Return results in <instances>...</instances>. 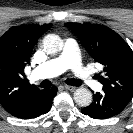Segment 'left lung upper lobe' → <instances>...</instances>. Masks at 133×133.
Listing matches in <instances>:
<instances>
[{
	"instance_id": "1",
	"label": "left lung upper lobe",
	"mask_w": 133,
	"mask_h": 133,
	"mask_svg": "<svg viewBox=\"0 0 133 133\" xmlns=\"http://www.w3.org/2000/svg\"><path fill=\"white\" fill-rule=\"evenodd\" d=\"M90 56L104 66L94 77L103 84V93L130 101L133 97V52L112 29L99 24L67 23Z\"/></svg>"
}]
</instances>
